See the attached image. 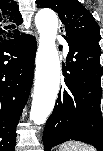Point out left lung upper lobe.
Returning <instances> with one entry per match:
<instances>
[{
    "instance_id": "obj_1",
    "label": "left lung upper lobe",
    "mask_w": 103,
    "mask_h": 151,
    "mask_svg": "<svg viewBox=\"0 0 103 151\" xmlns=\"http://www.w3.org/2000/svg\"><path fill=\"white\" fill-rule=\"evenodd\" d=\"M36 3L39 8H51L58 13L66 39L100 41L98 24L78 0H36Z\"/></svg>"
}]
</instances>
